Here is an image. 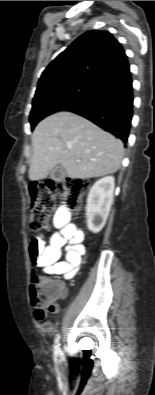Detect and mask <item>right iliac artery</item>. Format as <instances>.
<instances>
[{
    "mask_svg": "<svg viewBox=\"0 0 155 395\" xmlns=\"http://www.w3.org/2000/svg\"><path fill=\"white\" fill-rule=\"evenodd\" d=\"M54 353H55V356H58V354L60 353V335L59 334H57L55 337Z\"/></svg>",
    "mask_w": 155,
    "mask_h": 395,
    "instance_id": "right-iliac-artery-1",
    "label": "right iliac artery"
}]
</instances>
